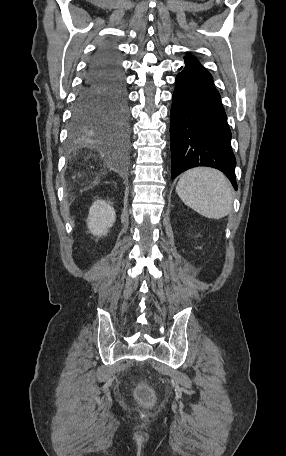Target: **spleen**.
<instances>
[{
  "instance_id": "spleen-1",
  "label": "spleen",
  "mask_w": 286,
  "mask_h": 456,
  "mask_svg": "<svg viewBox=\"0 0 286 456\" xmlns=\"http://www.w3.org/2000/svg\"><path fill=\"white\" fill-rule=\"evenodd\" d=\"M176 192L186 206L204 217L221 219L232 211V186L216 169L199 167L186 171Z\"/></svg>"
}]
</instances>
